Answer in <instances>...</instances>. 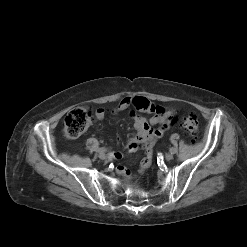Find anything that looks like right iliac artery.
Here are the masks:
<instances>
[{
	"mask_svg": "<svg viewBox=\"0 0 247 247\" xmlns=\"http://www.w3.org/2000/svg\"><path fill=\"white\" fill-rule=\"evenodd\" d=\"M106 151H107V149L105 147H101L98 149V152H106Z\"/></svg>",
	"mask_w": 247,
	"mask_h": 247,
	"instance_id": "right-iliac-artery-1",
	"label": "right iliac artery"
}]
</instances>
